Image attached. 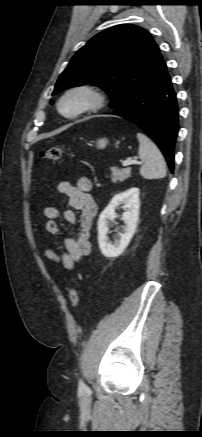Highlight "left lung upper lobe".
Instances as JSON below:
<instances>
[{
    "instance_id": "obj_1",
    "label": "left lung upper lobe",
    "mask_w": 202,
    "mask_h": 437,
    "mask_svg": "<svg viewBox=\"0 0 202 437\" xmlns=\"http://www.w3.org/2000/svg\"><path fill=\"white\" fill-rule=\"evenodd\" d=\"M151 35L136 25L104 30L80 48L60 75L52 95L91 83L106 91L115 109L165 66Z\"/></svg>"
}]
</instances>
